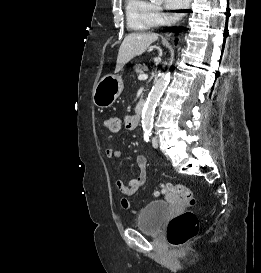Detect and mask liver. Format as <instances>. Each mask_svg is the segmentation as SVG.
<instances>
[{
  "instance_id": "6515ba94",
  "label": "liver",
  "mask_w": 261,
  "mask_h": 273,
  "mask_svg": "<svg viewBox=\"0 0 261 273\" xmlns=\"http://www.w3.org/2000/svg\"><path fill=\"white\" fill-rule=\"evenodd\" d=\"M158 37L157 33H131L127 35L119 48L115 72H119L134 57L143 54Z\"/></svg>"
}]
</instances>
